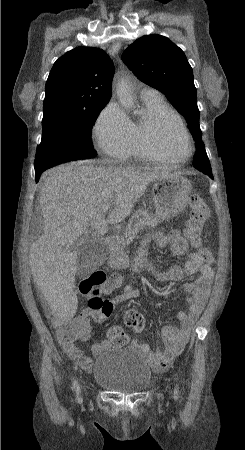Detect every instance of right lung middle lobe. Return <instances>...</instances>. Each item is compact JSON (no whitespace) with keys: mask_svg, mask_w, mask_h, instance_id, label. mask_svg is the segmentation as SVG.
I'll use <instances>...</instances> for the list:
<instances>
[{"mask_svg":"<svg viewBox=\"0 0 245 450\" xmlns=\"http://www.w3.org/2000/svg\"><path fill=\"white\" fill-rule=\"evenodd\" d=\"M106 104L90 110L53 107L43 110L42 140L36 152L35 171L54 165L96 157L91 143V126Z\"/></svg>","mask_w":245,"mask_h":450,"instance_id":"obj_1","label":"right lung middle lobe"}]
</instances>
